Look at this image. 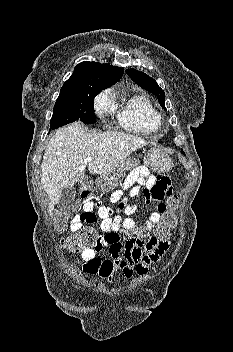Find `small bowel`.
Returning a JSON list of instances; mask_svg holds the SVG:
<instances>
[{
    "mask_svg": "<svg viewBox=\"0 0 233 352\" xmlns=\"http://www.w3.org/2000/svg\"><path fill=\"white\" fill-rule=\"evenodd\" d=\"M122 188L123 190L129 189L131 197L143 193L147 203L152 200L157 202V209L149 212L143 226H138L130 217L135 212L136 206L129 204L128 198L123 197L122 190L114 191L111 196V202L117 205V209L87 200L83 205V212L73 218L70 226V230L76 233L83 224L95 223L97 217L100 219V228L105 235L97 246L82 252L83 272L96 274L108 282H112L116 273H120L125 278L134 274H146L169 248V243L157 247L124 243L121 236V233L127 230L134 232L141 229L151 230L160 220L159 207L165 204L164 199L172 192L169 178L154 176L146 167L140 166L127 176ZM83 194L86 197L88 192ZM95 209H97V214ZM103 246L108 247L110 259H102L96 255V252Z\"/></svg>",
    "mask_w": 233,
    "mask_h": 352,
    "instance_id": "small-bowel-1",
    "label": "small bowel"
}]
</instances>
